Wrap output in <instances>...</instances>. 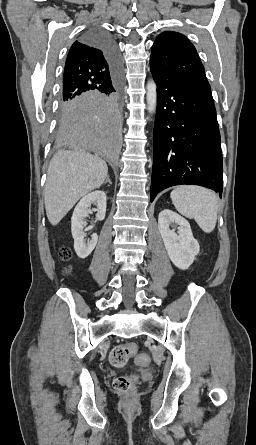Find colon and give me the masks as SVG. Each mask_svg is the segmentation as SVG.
Listing matches in <instances>:
<instances>
[{
    "instance_id": "obj_1",
    "label": "colon",
    "mask_w": 256,
    "mask_h": 445,
    "mask_svg": "<svg viewBox=\"0 0 256 445\" xmlns=\"http://www.w3.org/2000/svg\"><path fill=\"white\" fill-rule=\"evenodd\" d=\"M60 254L62 258H69L70 251L68 248H61ZM137 352V346L133 343L119 344L115 346L109 354V362L115 367H123L128 360ZM142 359L139 358V362ZM138 386V378L135 375H123L114 380V388L125 394H132Z\"/></svg>"
}]
</instances>
